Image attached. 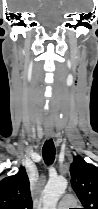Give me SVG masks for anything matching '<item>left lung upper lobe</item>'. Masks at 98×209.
Wrapping results in <instances>:
<instances>
[{
	"label": "left lung upper lobe",
	"mask_w": 98,
	"mask_h": 209,
	"mask_svg": "<svg viewBox=\"0 0 98 209\" xmlns=\"http://www.w3.org/2000/svg\"><path fill=\"white\" fill-rule=\"evenodd\" d=\"M71 185L83 209H98V167L74 157L70 166Z\"/></svg>",
	"instance_id": "1"
}]
</instances>
